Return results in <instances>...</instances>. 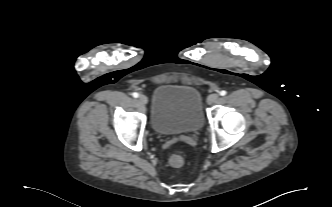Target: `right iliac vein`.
I'll list each match as a JSON object with an SVG mask.
<instances>
[{"instance_id":"63e3f726","label":"right iliac vein","mask_w":332,"mask_h":207,"mask_svg":"<svg viewBox=\"0 0 332 207\" xmlns=\"http://www.w3.org/2000/svg\"><path fill=\"white\" fill-rule=\"evenodd\" d=\"M139 102H140L141 104H147V102H148V98H147L145 95H140V96H139Z\"/></svg>"}]
</instances>
